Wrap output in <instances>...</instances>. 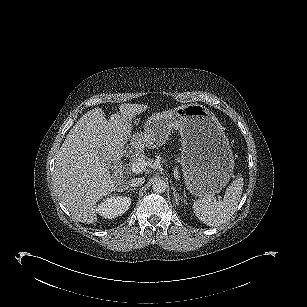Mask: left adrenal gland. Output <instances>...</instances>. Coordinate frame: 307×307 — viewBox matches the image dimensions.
I'll list each match as a JSON object with an SVG mask.
<instances>
[{"label": "left adrenal gland", "mask_w": 307, "mask_h": 307, "mask_svg": "<svg viewBox=\"0 0 307 307\" xmlns=\"http://www.w3.org/2000/svg\"><path fill=\"white\" fill-rule=\"evenodd\" d=\"M173 190V195H174V199H175V203L177 205H179V201L185 203L186 200H184L182 197L179 196V194L177 193L176 189L174 187H172Z\"/></svg>", "instance_id": "1"}]
</instances>
